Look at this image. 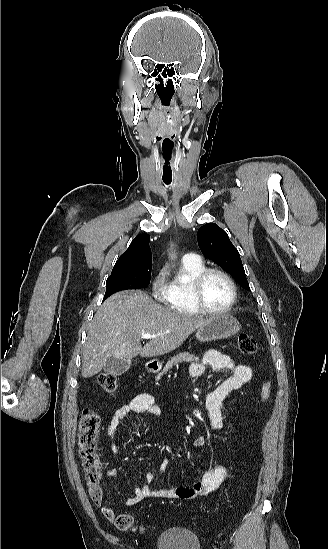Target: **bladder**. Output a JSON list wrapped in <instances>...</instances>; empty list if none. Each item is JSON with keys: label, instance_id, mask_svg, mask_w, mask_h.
<instances>
[{"label": "bladder", "instance_id": "31cf9c89", "mask_svg": "<svg viewBox=\"0 0 328 549\" xmlns=\"http://www.w3.org/2000/svg\"><path fill=\"white\" fill-rule=\"evenodd\" d=\"M198 536H185L180 528H171L158 537L157 549H199Z\"/></svg>", "mask_w": 328, "mask_h": 549}]
</instances>
